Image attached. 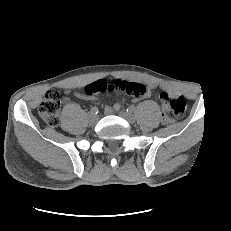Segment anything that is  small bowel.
Returning a JSON list of instances; mask_svg holds the SVG:
<instances>
[{
	"label": "small bowel",
	"instance_id": "obj_1",
	"mask_svg": "<svg viewBox=\"0 0 231 231\" xmlns=\"http://www.w3.org/2000/svg\"><path fill=\"white\" fill-rule=\"evenodd\" d=\"M140 84V83H139ZM143 85V84H142ZM145 86V85H144ZM157 85L155 84V83H149L148 84V86H145L146 88H147V92L143 95V96H140V97H136V98H146V97H148L149 95H150V89H152V88H155ZM76 96L77 97H83V94H81V93H76ZM119 108V105L118 104H115L114 106H113V108H110V107H108L106 110L108 111V112H111L112 110H117ZM164 121L165 122H168L169 121V119L167 118V117H164Z\"/></svg>",
	"mask_w": 231,
	"mask_h": 231
}]
</instances>
